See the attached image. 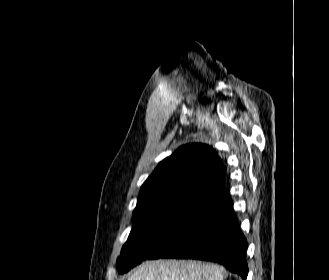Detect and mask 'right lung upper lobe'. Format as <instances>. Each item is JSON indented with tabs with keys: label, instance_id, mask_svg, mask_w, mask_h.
<instances>
[{
	"label": "right lung upper lobe",
	"instance_id": "cb5924a9",
	"mask_svg": "<svg viewBox=\"0 0 329 280\" xmlns=\"http://www.w3.org/2000/svg\"><path fill=\"white\" fill-rule=\"evenodd\" d=\"M223 185L222 161L213 148L187 144L158 164L142 185L133 214L150 203L172 197L209 200Z\"/></svg>",
	"mask_w": 329,
	"mask_h": 280
}]
</instances>
